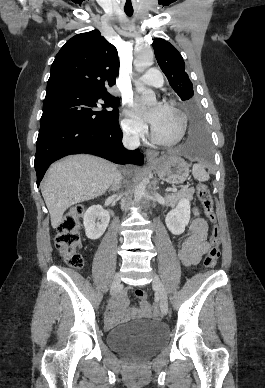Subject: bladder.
Masks as SVG:
<instances>
[{"label":"bladder","instance_id":"bladder-1","mask_svg":"<svg viewBox=\"0 0 265 388\" xmlns=\"http://www.w3.org/2000/svg\"><path fill=\"white\" fill-rule=\"evenodd\" d=\"M167 331L156 321H137L124 324L107 334L109 347L124 353H151L166 343Z\"/></svg>","mask_w":265,"mask_h":388}]
</instances>
